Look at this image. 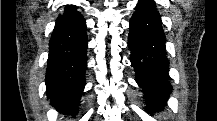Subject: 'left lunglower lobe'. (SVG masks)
Segmentation results:
<instances>
[{"label": "left lung lower lobe", "instance_id": "left-lung-lower-lobe-1", "mask_svg": "<svg viewBox=\"0 0 217 121\" xmlns=\"http://www.w3.org/2000/svg\"><path fill=\"white\" fill-rule=\"evenodd\" d=\"M128 46L136 81L148 100L147 111L161 110L172 86L160 14L152 0H139L130 19Z\"/></svg>", "mask_w": 217, "mask_h": 121}]
</instances>
